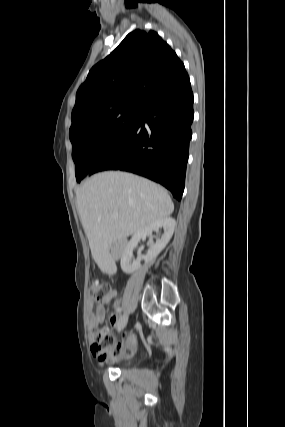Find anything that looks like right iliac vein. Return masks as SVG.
<instances>
[{"label":"right iliac vein","instance_id":"obj_1","mask_svg":"<svg viewBox=\"0 0 285 427\" xmlns=\"http://www.w3.org/2000/svg\"><path fill=\"white\" fill-rule=\"evenodd\" d=\"M127 322H128V316L123 315L120 318L119 323H118V331H121L127 325Z\"/></svg>","mask_w":285,"mask_h":427}]
</instances>
